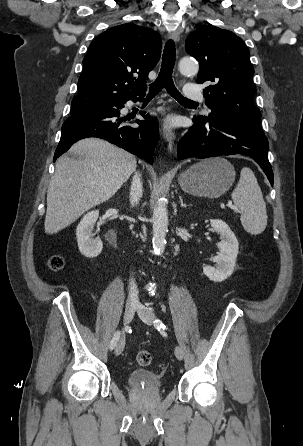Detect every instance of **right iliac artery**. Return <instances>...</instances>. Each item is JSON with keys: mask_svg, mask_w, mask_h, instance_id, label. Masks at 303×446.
Returning a JSON list of instances; mask_svg holds the SVG:
<instances>
[{"mask_svg": "<svg viewBox=\"0 0 303 446\" xmlns=\"http://www.w3.org/2000/svg\"><path fill=\"white\" fill-rule=\"evenodd\" d=\"M120 335H121L120 331L115 332V334H114V336H113V338H112V340L110 342V345H109V348L111 350H113L116 347L117 342H118V340L120 338Z\"/></svg>", "mask_w": 303, "mask_h": 446, "instance_id": "1", "label": "right iliac artery"}]
</instances>
